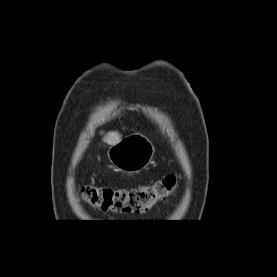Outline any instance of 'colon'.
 <instances>
[{"label":"colon","mask_w":277,"mask_h":277,"mask_svg":"<svg viewBox=\"0 0 277 277\" xmlns=\"http://www.w3.org/2000/svg\"><path fill=\"white\" fill-rule=\"evenodd\" d=\"M177 179L168 175L150 185L134 188L85 186L83 199L92 207L111 212L140 214L171 197Z\"/></svg>","instance_id":"5ec220e1"}]
</instances>
